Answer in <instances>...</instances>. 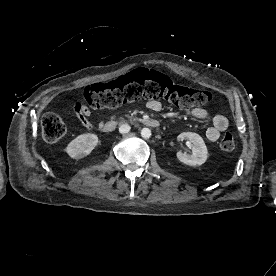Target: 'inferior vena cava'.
<instances>
[{
	"mask_svg": "<svg viewBox=\"0 0 276 276\" xmlns=\"http://www.w3.org/2000/svg\"><path fill=\"white\" fill-rule=\"evenodd\" d=\"M131 127L128 124H123L119 127V132L124 134L130 131Z\"/></svg>",
	"mask_w": 276,
	"mask_h": 276,
	"instance_id": "obj_1",
	"label": "inferior vena cava"
}]
</instances>
